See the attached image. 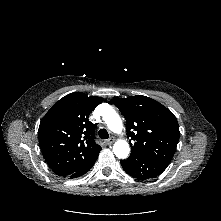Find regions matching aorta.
<instances>
[{
	"label": "aorta",
	"mask_w": 221,
	"mask_h": 221,
	"mask_svg": "<svg viewBox=\"0 0 221 221\" xmlns=\"http://www.w3.org/2000/svg\"><path fill=\"white\" fill-rule=\"evenodd\" d=\"M104 120L110 131L117 134L122 132V120L114 110L107 111L104 115ZM113 152L117 158L125 159L128 157L130 152L129 144L124 140H117L113 146Z\"/></svg>",
	"instance_id": "1"
}]
</instances>
